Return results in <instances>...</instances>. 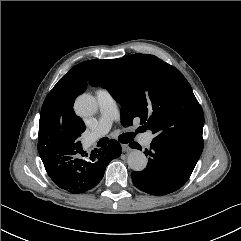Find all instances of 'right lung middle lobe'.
Masks as SVG:
<instances>
[{"label":"right lung middle lobe","instance_id":"right-lung-middle-lobe-1","mask_svg":"<svg viewBox=\"0 0 241 241\" xmlns=\"http://www.w3.org/2000/svg\"><path fill=\"white\" fill-rule=\"evenodd\" d=\"M75 149H77V148H76V147H72V148H66V149H64L63 151H65V150H75ZM63 151H62V152H63ZM62 152H61V153H62Z\"/></svg>","mask_w":241,"mask_h":241}]
</instances>
